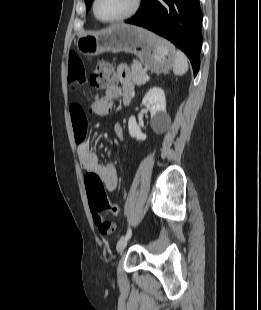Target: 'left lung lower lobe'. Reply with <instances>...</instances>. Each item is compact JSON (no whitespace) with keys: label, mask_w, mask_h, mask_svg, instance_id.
Wrapping results in <instances>:
<instances>
[{"label":"left lung lower lobe","mask_w":261,"mask_h":310,"mask_svg":"<svg viewBox=\"0 0 261 310\" xmlns=\"http://www.w3.org/2000/svg\"><path fill=\"white\" fill-rule=\"evenodd\" d=\"M126 23L147 28L174 43L188 56L196 76L202 46L199 0H142L139 11Z\"/></svg>","instance_id":"left-lung-lower-lobe-1"}]
</instances>
